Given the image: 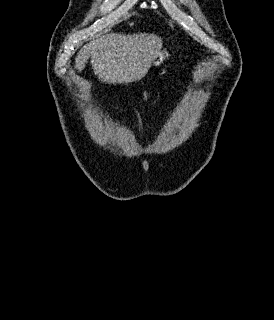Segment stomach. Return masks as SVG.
Segmentation results:
<instances>
[{
	"label": "stomach",
	"instance_id": "0dacf381",
	"mask_svg": "<svg viewBox=\"0 0 274 320\" xmlns=\"http://www.w3.org/2000/svg\"><path fill=\"white\" fill-rule=\"evenodd\" d=\"M167 56H169L168 52H163V50H160L158 54H156L152 64L153 66H161L163 64L164 60H166Z\"/></svg>",
	"mask_w": 274,
	"mask_h": 320
}]
</instances>
